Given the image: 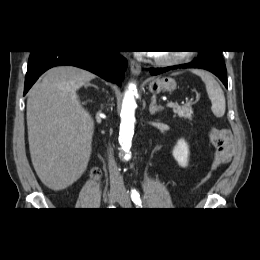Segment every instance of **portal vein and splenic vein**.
<instances>
[{"instance_id":"portal-vein-and-splenic-vein-1","label":"portal vein and splenic vein","mask_w":260,"mask_h":260,"mask_svg":"<svg viewBox=\"0 0 260 260\" xmlns=\"http://www.w3.org/2000/svg\"><path fill=\"white\" fill-rule=\"evenodd\" d=\"M177 104L176 103H174V102H168L167 103V107H174V106H176Z\"/></svg>"}]
</instances>
